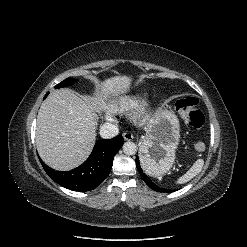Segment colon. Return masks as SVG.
I'll use <instances>...</instances> for the list:
<instances>
[{
  "instance_id": "5ec220e1",
  "label": "colon",
  "mask_w": 247,
  "mask_h": 247,
  "mask_svg": "<svg viewBox=\"0 0 247 247\" xmlns=\"http://www.w3.org/2000/svg\"><path fill=\"white\" fill-rule=\"evenodd\" d=\"M176 109L184 118V120L192 127L199 128L204 124L205 117L200 108H198V100L194 97H186L176 102ZM206 148L202 140L194 143L196 152H203Z\"/></svg>"
}]
</instances>
